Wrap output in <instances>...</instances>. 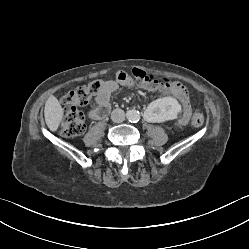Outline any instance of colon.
I'll list each match as a JSON object with an SVG mask.
<instances>
[{"instance_id": "colon-1", "label": "colon", "mask_w": 249, "mask_h": 249, "mask_svg": "<svg viewBox=\"0 0 249 249\" xmlns=\"http://www.w3.org/2000/svg\"><path fill=\"white\" fill-rule=\"evenodd\" d=\"M157 82L158 85L159 81L157 80ZM104 84L105 81L103 80L93 81L87 86L78 87L72 91H69L62 97L64 112L60 124V133L63 137L73 138L84 132V116L80 111H78L77 106L88 103L92 96L98 95L103 89ZM204 122V116L196 110L191 117L192 125L200 127L204 124Z\"/></svg>"}]
</instances>
